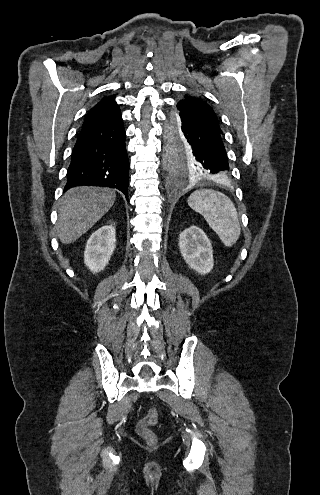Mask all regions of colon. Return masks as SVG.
Returning a JSON list of instances; mask_svg holds the SVG:
<instances>
[{"label": "colon", "mask_w": 320, "mask_h": 495, "mask_svg": "<svg viewBox=\"0 0 320 495\" xmlns=\"http://www.w3.org/2000/svg\"><path fill=\"white\" fill-rule=\"evenodd\" d=\"M157 421L158 411L155 408H151L148 410L147 414L139 420L137 424L138 434L150 444L156 441V436L151 430V427L156 425Z\"/></svg>", "instance_id": "1"}]
</instances>
